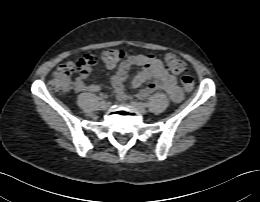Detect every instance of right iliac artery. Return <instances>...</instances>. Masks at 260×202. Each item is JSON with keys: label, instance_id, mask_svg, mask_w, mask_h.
Wrapping results in <instances>:
<instances>
[{"label": "right iliac artery", "instance_id": "obj_1", "mask_svg": "<svg viewBox=\"0 0 260 202\" xmlns=\"http://www.w3.org/2000/svg\"><path fill=\"white\" fill-rule=\"evenodd\" d=\"M99 99H100V100H103V99H104V97H103V96H101Z\"/></svg>", "mask_w": 260, "mask_h": 202}]
</instances>
